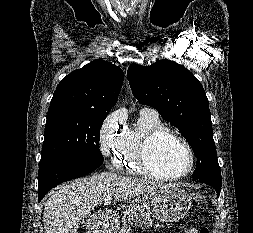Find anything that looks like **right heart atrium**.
I'll list each match as a JSON object with an SVG mask.
<instances>
[{"label":"right heart atrium","instance_id":"d8ad5b80","mask_svg":"<svg viewBox=\"0 0 253 233\" xmlns=\"http://www.w3.org/2000/svg\"><path fill=\"white\" fill-rule=\"evenodd\" d=\"M124 130V120L120 112H112L104 119L99 129L98 144L105 158L113 156Z\"/></svg>","mask_w":253,"mask_h":233}]
</instances>
